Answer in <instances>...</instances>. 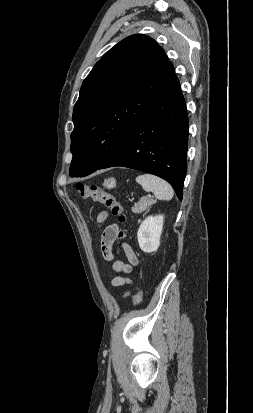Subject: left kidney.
<instances>
[{
    "instance_id": "1",
    "label": "left kidney",
    "mask_w": 253,
    "mask_h": 413,
    "mask_svg": "<svg viewBox=\"0 0 253 413\" xmlns=\"http://www.w3.org/2000/svg\"><path fill=\"white\" fill-rule=\"evenodd\" d=\"M163 215L148 216L140 225L137 238L140 249L146 253L157 251L163 229Z\"/></svg>"
}]
</instances>
